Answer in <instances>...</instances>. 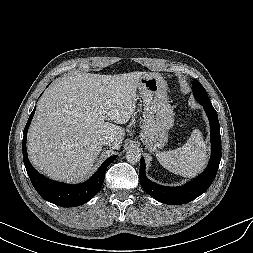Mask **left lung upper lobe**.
Returning <instances> with one entry per match:
<instances>
[{"mask_svg":"<svg viewBox=\"0 0 253 253\" xmlns=\"http://www.w3.org/2000/svg\"><path fill=\"white\" fill-rule=\"evenodd\" d=\"M192 91L194 97L200 104H211L204 87L198 80H193Z\"/></svg>","mask_w":253,"mask_h":253,"instance_id":"obj_1","label":"left lung upper lobe"}]
</instances>
